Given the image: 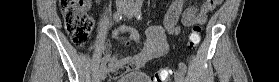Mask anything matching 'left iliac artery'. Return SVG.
I'll return each mask as SVG.
<instances>
[{"mask_svg": "<svg viewBox=\"0 0 279 82\" xmlns=\"http://www.w3.org/2000/svg\"><path fill=\"white\" fill-rule=\"evenodd\" d=\"M142 3V0H137L134 6L135 16L138 20L142 19ZM178 66L184 73H186L187 67L183 62H180Z\"/></svg>", "mask_w": 279, "mask_h": 82, "instance_id": "44dca946", "label": "left iliac artery"}]
</instances>
